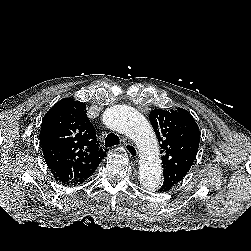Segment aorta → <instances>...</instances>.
<instances>
[{"label": "aorta", "mask_w": 251, "mask_h": 251, "mask_svg": "<svg viewBox=\"0 0 251 251\" xmlns=\"http://www.w3.org/2000/svg\"><path fill=\"white\" fill-rule=\"evenodd\" d=\"M104 124L135 141L140 152V184L147 191L153 192L162 183V167L156 136L146 118L137 110L116 105L103 114Z\"/></svg>", "instance_id": "762f6f07"}]
</instances>
